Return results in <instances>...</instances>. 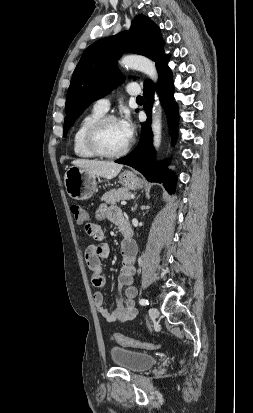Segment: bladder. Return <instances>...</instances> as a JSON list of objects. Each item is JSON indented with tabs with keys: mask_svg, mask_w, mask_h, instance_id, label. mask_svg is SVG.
I'll return each mask as SVG.
<instances>
[{
	"mask_svg": "<svg viewBox=\"0 0 253 413\" xmlns=\"http://www.w3.org/2000/svg\"><path fill=\"white\" fill-rule=\"evenodd\" d=\"M110 358L118 366L132 372H142L156 364L157 358L144 351H136L123 347L110 348Z\"/></svg>",
	"mask_w": 253,
	"mask_h": 413,
	"instance_id": "bladder-1",
	"label": "bladder"
}]
</instances>
